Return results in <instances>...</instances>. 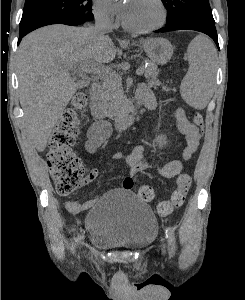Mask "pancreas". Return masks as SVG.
Segmentation results:
<instances>
[{
	"instance_id": "cf45deb5",
	"label": "pancreas",
	"mask_w": 245,
	"mask_h": 300,
	"mask_svg": "<svg viewBox=\"0 0 245 300\" xmlns=\"http://www.w3.org/2000/svg\"><path fill=\"white\" fill-rule=\"evenodd\" d=\"M147 68H143L144 75L148 79L150 87L160 86L161 83L157 79L159 74L158 67L155 63L148 60ZM103 91L101 94V104L106 115L110 118H118L126 111V97L123 92L121 77L113 70H109L103 77ZM166 92L169 88L163 87Z\"/></svg>"
}]
</instances>
